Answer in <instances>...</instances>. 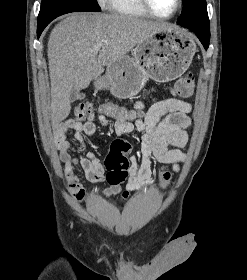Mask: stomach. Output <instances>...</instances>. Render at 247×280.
Here are the masks:
<instances>
[{"label":"stomach","instance_id":"obj_1","mask_svg":"<svg viewBox=\"0 0 247 280\" xmlns=\"http://www.w3.org/2000/svg\"><path fill=\"white\" fill-rule=\"evenodd\" d=\"M196 44L184 30L168 28L141 41L133 57L123 56L107 67L105 76L96 79L98 89L108 88L112 95L127 99L137 95L148 79L169 82L190 66Z\"/></svg>","mask_w":247,"mask_h":280}]
</instances>
